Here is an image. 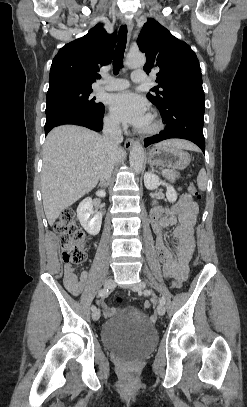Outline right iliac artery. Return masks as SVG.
<instances>
[{
	"label": "right iliac artery",
	"mask_w": 247,
	"mask_h": 407,
	"mask_svg": "<svg viewBox=\"0 0 247 407\" xmlns=\"http://www.w3.org/2000/svg\"><path fill=\"white\" fill-rule=\"evenodd\" d=\"M108 292H109L108 288H103V289H101V290L98 292V295L101 296V297H105V296L108 295ZM91 310H92V311H95V310H96V306H95V305H92V306H91Z\"/></svg>",
	"instance_id": "right-iliac-artery-1"
}]
</instances>
